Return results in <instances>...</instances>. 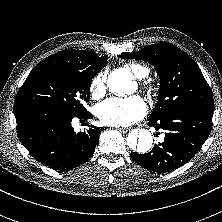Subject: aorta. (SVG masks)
I'll return each mask as SVG.
<instances>
[{"mask_svg":"<svg viewBox=\"0 0 222 222\" xmlns=\"http://www.w3.org/2000/svg\"><path fill=\"white\" fill-rule=\"evenodd\" d=\"M109 90L117 94H132L135 91V82L132 73L127 69H116L112 71L107 79ZM153 143L150 131L140 129L132 131L127 137V145L131 151L144 154L147 153Z\"/></svg>","mask_w":222,"mask_h":222,"instance_id":"aorta-1","label":"aorta"}]
</instances>
